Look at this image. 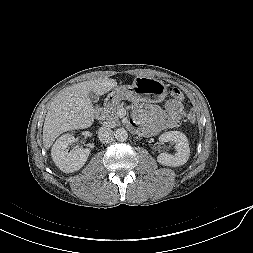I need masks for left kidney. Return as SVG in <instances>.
Wrapping results in <instances>:
<instances>
[{"instance_id": "5707ae66", "label": "left kidney", "mask_w": 253, "mask_h": 253, "mask_svg": "<svg viewBox=\"0 0 253 253\" xmlns=\"http://www.w3.org/2000/svg\"><path fill=\"white\" fill-rule=\"evenodd\" d=\"M161 143L174 142L176 144V153H161L157 161L165 166L178 167L184 165L190 156L189 142L185 134L179 131L165 132L159 137Z\"/></svg>"}]
</instances>
